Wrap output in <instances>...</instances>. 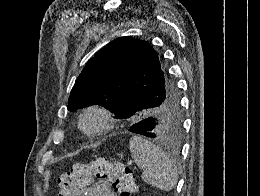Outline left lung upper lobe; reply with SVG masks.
<instances>
[{
  "label": "left lung upper lobe",
  "mask_w": 260,
  "mask_h": 196,
  "mask_svg": "<svg viewBox=\"0 0 260 196\" xmlns=\"http://www.w3.org/2000/svg\"><path fill=\"white\" fill-rule=\"evenodd\" d=\"M93 104L114 113L133 111L130 124L154 120L153 138L169 146L177 147L183 139L176 85L163 56L147 41L117 38L88 61L71 90L68 110Z\"/></svg>",
  "instance_id": "5c2ea615"
}]
</instances>
